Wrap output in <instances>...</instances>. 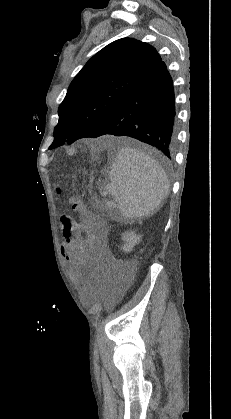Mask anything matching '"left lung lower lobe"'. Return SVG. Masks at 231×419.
I'll return each mask as SVG.
<instances>
[{"label":"left lung lower lobe","mask_w":231,"mask_h":419,"mask_svg":"<svg viewBox=\"0 0 231 419\" xmlns=\"http://www.w3.org/2000/svg\"><path fill=\"white\" fill-rule=\"evenodd\" d=\"M175 98L164 62L147 74L90 136H129L171 159L175 145Z\"/></svg>","instance_id":"1"}]
</instances>
